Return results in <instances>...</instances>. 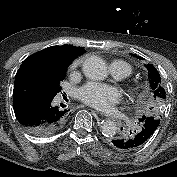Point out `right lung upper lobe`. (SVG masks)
I'll return each instance as SVG.
<instances>
[{"label": "right lung upper lobe", "mask_w": 177, "mask_h": 177, "mask_svg": "<svg viewBox=\"0 0 177 177\" xmlns=\"http://www.w3.org/2000/svg\"><path fill=\"white\" fill-rule=\"evenodd\" d=\"M82 47L72 45L51 46L26 58L16 73L14 86L31 75L50 78L67 70L75 57L83 53Z\"/></svg>", "instance_id": "1"}]
</instances>
